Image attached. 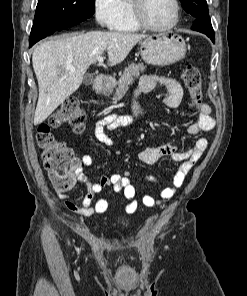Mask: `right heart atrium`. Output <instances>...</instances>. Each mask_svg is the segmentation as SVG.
<instances>
[{
  "label": "right heart atrium",
  "mask_w": 247,
  "mask_h": 296,
  "mask_svg": "<svg viewBox=\"0 0 247 296\" xmlns=\"http://www.w3.org/2000/svg\"><path fill=\"white\" fill-rule=\"evenodd\" d=\"M93 15L100 27L113 28L119 18L118 0H93Z\"/></svg>",
  "instance_id": "d8ad5b80"
}]
</instances>
